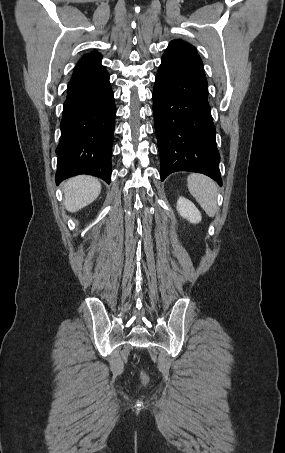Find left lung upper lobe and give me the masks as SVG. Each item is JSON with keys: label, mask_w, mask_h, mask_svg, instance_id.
Masks as SVG:
<instances>
[{"label": "left lung upper lobe", "mask_w": 285, "mask_h": 453, "mask_svg": "<svg viewBox=\"0 0 285 453\" xmlns=\"http://www.w3.org/2000/svg\"><path fill=\"white\" fill-rule=\"evenodd\" d=\"M169 44L183 45V46H187V47H190V48L195 50V47H193L191 44H189L187 42H184V41H182L180 39L172 40Z\"/></svg>", "instance_id": "left-lung-upper-lobe-1"}]
</instances>
